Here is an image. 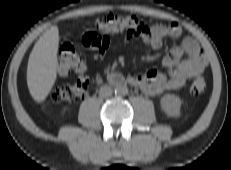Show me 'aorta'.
Wrapping results in <instances>:
<instances>
[{
    "mask_svg": "<svg viewBox=\"0 0 231 170\" xmlns=\"http://www.w3.org/2000/svg\"><path fill=\"white\" fill-rule=\"evenodd\" d=\"M128 93V88L123 84H118L115 87V94L125 96Z\"/></svg>",
    "mask_w": 231,
    "mask_h": 170,
    "instance_id": "obj_1",
    "label": "aorta"
}]
</instances>
